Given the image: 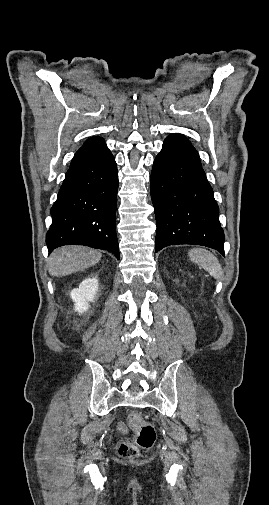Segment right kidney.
Segmentation results:
<instances>
[{"mask_svg":"<svg viewBox=\"0 0 269 505\" xmlns=\"http://www.w3.org/2000/svg\"><path fill=\"white\" fill-rule=\"evenodd\" d=\"M98 290V279L88 278L82 281L79 288L73 289L70 293L71 299L75 302V311L84 313L89 308V302H93Z\"/></svg>","mask_w":269,"mask_h":505,"instance_id":"right-kidney-1","label":"right kidney"}]
</instances>
